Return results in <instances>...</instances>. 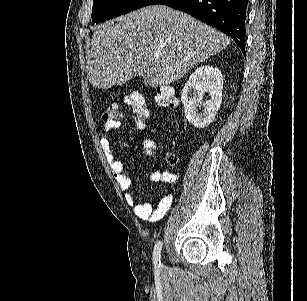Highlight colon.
<instances>
[{
	"label": "colon",
	"mask_w": 307,
	"mask_h": 301,
	"mask_svg": "<svg viewBox=\"0 0 307 301\" xmlns=\"http://www.w3.org/2000/svg\"><path fill=\"white\" fill-rule=\"evenodd\" d=\"M155 101L160 107H174L176 105V99L173 89L168 86L159 87ZM125 102L131 108L135 127L139 130L143 129L149 118V110L144 96L138 91H133L126 96ZM121 116L122 114L119 106L116 103H112L104 111L102 119L105 123L119 122ZM167 161L170 165H175L177 159L174 155L170 154L167 157Z\"/></svg>",
	"instance_id": "5ec220e1"
}]
</instances>
